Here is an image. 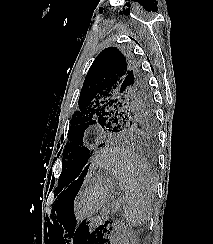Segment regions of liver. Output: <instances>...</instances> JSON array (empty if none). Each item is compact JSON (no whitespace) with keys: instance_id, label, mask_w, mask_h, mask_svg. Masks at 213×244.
Returning <instances> with one entry per match:
<instances>
[{"instance_id":"liver-1","label":"liver","mask_w":213,"mask_h":244,"mask_svg":"<svg viewBox=\"0 0 213 244\" xmlns=\"http://www.w3.org/2000/svg\"><path fill=\"white\" fill-rule=\"evenodd\" d=\"M105 158H100V159H95L94 163H93V166L94 165H100L103 161H104Z\"/></svg>"}]
</instances>
